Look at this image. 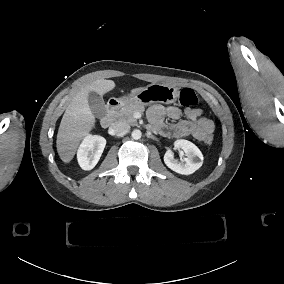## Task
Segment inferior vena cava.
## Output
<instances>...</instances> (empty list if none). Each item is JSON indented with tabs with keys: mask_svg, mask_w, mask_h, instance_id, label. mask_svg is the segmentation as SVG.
<instances>
[{
	"mask_svg": "<svg viewBox=\"0 0 284 284\" xmlns=\"http://www.w3.org/2000/svg\"><path fill=\"white\" fill-rule=\"evenodd\" d=\"M129 129L130 126L127 123L119 121L111 124V126L109 127V133L111 135L123 134L126 133Z\"/></svg>",
	"mask_w": 284,
	"mask_h": 284,
	"instance_id": "inferior-vena-cava-1",
	"label": "inferior vena cava"
}]
</instances>
